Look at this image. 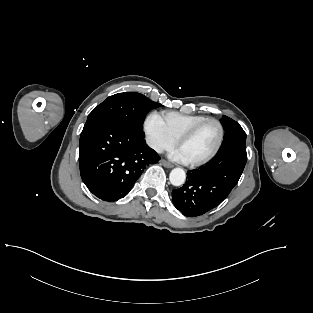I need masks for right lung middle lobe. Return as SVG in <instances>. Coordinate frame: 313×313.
<instances>
[{"label": "right lung middle lobe", "mask_w": 313, "mask_h": 313, "mask_svg": "<svg viewBox=\"0 0 313 313\" xmlns=\"http://www.w3.org/2000/svg\"><path fill=\"white\" fill-rule=\"evenodd\" d=\"M160 106L161 104L136 92L118 93L99 104L88 115L86 124L107 118L118 121L139 133H144L143 122L146 114L151 109Z\"/></svg>", "instance_id": "right-lung-middle-lobe-1"}]
</instances>
